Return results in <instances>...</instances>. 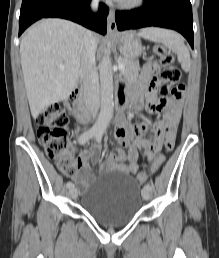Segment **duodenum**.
<instances>
[{
    "instance_id": "410a0bca",
    "label": "duodenum",
    "mask_w": 219,
    "mask_h": 258,
    "mask_svg": "<svg viewBox=\"0 0 219 258\" xmlns=\"http://www.w3.org/2000/svg\"><path fill=\"white\" fill-rule=\"evenodd\" d=\"M126 104H127V98L119 94L116 99V108L119 113L126 106ZM68 106L72 111L74 117L78 120V122L86 123L89 121L90 111L84 104L82 88L76 87L72 91L68 99Z\"/></svg>"
}]
</instances>
